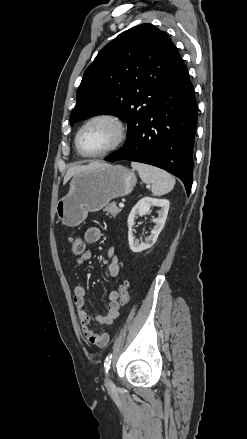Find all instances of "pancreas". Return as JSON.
<instances>
[{"label": "pancreas", "instance_id": "cf45deb5", "mask_svg": "<svg viewBox=\"0 0 247 439\" xmlns=\"http://www.w3.org/2000/svg\"><path fill=\"white\" fill-rule=\"evenodd\" d=\"M106 215L110 216V218H115L118 213H120L121 209L117 207L115 202L110 203L104 208Z\"/></svg>", "mask_w": 247, "mask_h": 439}]
</instances>
